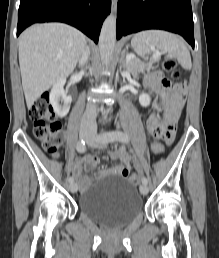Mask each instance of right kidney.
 <instances>
[{
    "label": "right kidney",
    "instance_id": "1",
    "mask_svg": "<svg viewBox=\"0 0 219 258\" xmlns=\"http://www.w3.org/2000/svg\"><path fill=\"white\" fill-rule=\"evenodd\" d=\"M64 84L65 78L59 79L56 81V83H54L53 88L49 94L50 103L54 109V112L59 117H65L68 114L72 101L71 96H68L63 89ZM60 100L63 102L62 105L59 104Z\"/></svg>",
    "mask_w": 219,
    "mask_h": 258
}]
</instances>
